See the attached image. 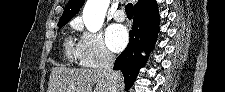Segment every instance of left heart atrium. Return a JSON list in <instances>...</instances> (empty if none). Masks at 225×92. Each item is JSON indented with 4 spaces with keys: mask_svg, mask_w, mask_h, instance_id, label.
<instances>
[{
    "mask_svg": "<svg viewBox=\"0 0 225 92\" xmlns=\"http://www.w3.org/2000/svg\"><path fill=\"white\" fill-rule=\"evenodd\" d=\"M128 42V32L122 25H112L106 33V43L113 52H120Z\"/></svg>",
    "mask_w": 225,
    "mask_h": 92,
    "instance_id": "39dd6f15",
    "label": "left heart atrium"
}]
</instances>
